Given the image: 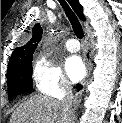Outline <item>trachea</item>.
Returning a JSON list of instances; mask_svg holds the SVG:
<instances>
[{"mask_svg": "<svg viewBox=\"0 0 122 123\" xmlns=\"http://www.w3.org/2000/svg\"><path fill=\"white\" fill-rule=\"evenodd\" d=\"M59 2L61 6L63 7V9L65 10V13L73 27L75 35L77 36V38L82 39L84 35L83 29L76 15L72 12V10L70 9L66 1L59 0Z\"/></svg>", "mask_w": 122, "mask_h": 123, "instance_id": "trachea-1", "label": "trachea"}]
</instances>
